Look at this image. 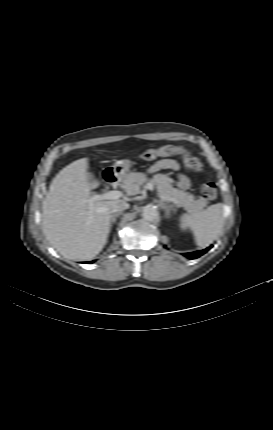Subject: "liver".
Masks as SVG:
<instances>
[{
	"mask_svg": "<svg viewBox=\"0 0 273 430\" xmlns=\"http://www.w3.org/2000/svg\"><path fill=\"white\" fill-rule=\"evenodd\" d=\"M88 158L64 167L53 179L42 205V228L49 243L65 258L88 260L104 247L110 231L114 200L89 203Z\"/></svg>",
	"mask_w": 273,
	"mask_h": 430,
	"instance_id": "6515ba94",
	"label": "liver"
}]
</instances>
